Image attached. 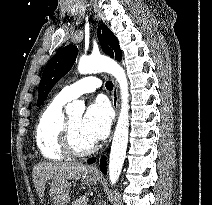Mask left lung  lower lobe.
Here are the masks:
<instances>
[{"mask_svg": "<svg viewBox=\"0 0 212 205\" xmlns=\"http://www.w3.org/2000/svg\"><path fill=\"white\" fill-rule=\"evenodd\" d=\"M87 162L89 164H93L95 162V159L94 158H91V159H88ZM100 168H101V171L105 174L107 172L106 170V158L105 157H102L101 158V161H100Z\"/></svg>", "mask_w": 212, "mask_h": 205, "instance_id": "1", "label": "left lung lower lobe"}]
</instances>
